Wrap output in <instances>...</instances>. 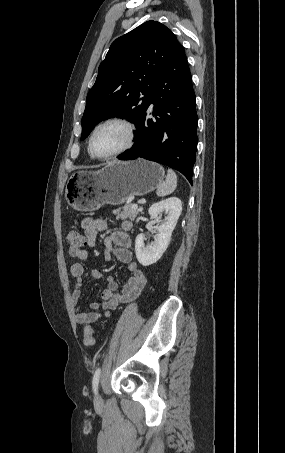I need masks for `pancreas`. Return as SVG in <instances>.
Returning a JSON list of instances; mask_svg holds the SVG:
<instances>
[{"instance_id": "cf45deb5", "label": "pancreas", "mask_w": 285, "mask_h": 453, "mask_svg": "<svg viewBox=\"0 0 285 453\" xmlns=\"http://www.w3.org/2000/svg\"><path fill=\"white\" fill-rule=\"evenodd\" d=\"M132 205L133 204H126L122 208L113 210V214L117 215L122 220L129 219L130 221H133L137 217L139 209L133 208Z\"/></svg>"}]
</instances>
